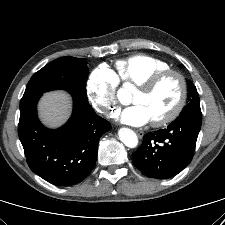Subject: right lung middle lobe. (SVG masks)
Returning a JSON list of instances; mask_svg holds the SVG:
<instances>
[{"label": "right lung middle lobe", "instance_id": "1", "mask_svg": "<svg viewBox=\"0 0 225 225\" xmlns=\"http://www.w3.org/2000/svg\"><path fill=\"white\" fill-rule=\"evenodd\" d=\"M87 75L86 59L62 57L36 72L28 82L23 96L63 89L69 92L74 99L88 103L85 88Z\"/></svg>", "mask_w": 225, "mask_h": 225}]
</instances>
